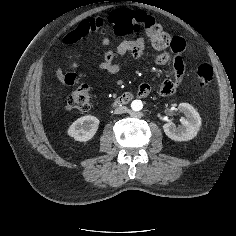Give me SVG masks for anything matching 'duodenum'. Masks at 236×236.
I'll return each mask as SVG.
<instances>
[{"instance_id":"410a0bca","label":"duodenum","mask_w":236,"mask_h":236,"mask_svg":"<svg viewBox=\"0 0 236 236\" xmlns=\"http://www.w3.org/2000/svg\"><path fill=\"white\" fill-rule=\"evenodd\" d=\"M134 98V93L131 91H125L121 93L114 101L113 106H122L128 104Z\"/></svg>"}]
</instances>
